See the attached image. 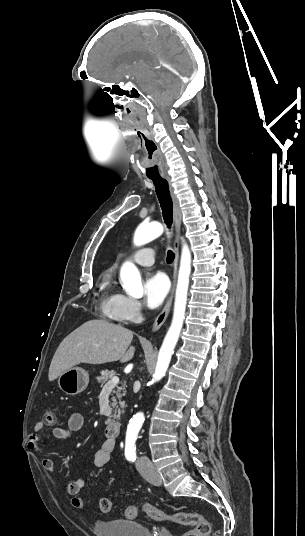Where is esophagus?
<instances>
[{
  "label": "esophagus",
  "mask_w": 305,
  "mask_h": 536,
  "mask_svg": "<svg viewBox=\"0 0 305 536\" xmlns=\"http://www.w3.org/2000/svg\"><path fill=\"white\" fill-rule=\"evenodd\" d=\"M165 178H166V180H168L169 190H170L171 198H172V201H173V215H174L175 230H176V238H175V243H174L175 259H174V263H173V284H172V289H171L170 296L168 297L163 310L161 311V313H159V315L157 316L155 322L153 323L152 332H155L159 328H161V326L164 324V322H165V320H166V318H167V316H168V314L170 312L172 301H173L175 285H176L178 260H179V235H180V230H181L182 211H181V208L179 206L178 198L175 195L174 188L172 186L170 177L165 176Z\"/></svg>",
  "instance_id": "esophagus-1"
}]
</instances>
